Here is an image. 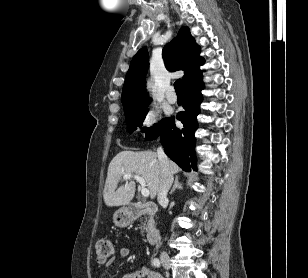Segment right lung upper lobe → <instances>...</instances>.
Returning <instances> with one entry per match:
<instances>
[{"label":"right lung upper lobe","mask_w":308,"mask_h":278,"mask_svg":"<svg viewBox=\"0 0 308 278\" xmlns=\"http://www.w3.org/2000/svg\"><path fill=\"white\" fill-rule=\"evenodd\" d=\"M199 54L200 47L188 27H182L177 37L163 48L162 56L167 70H184V89L202 78L199 67L204 64V59ZM148 68V52L142 48L133 57L126 74L121 97L124 111L150 103L148 93L144 92Z\"/></svg>","instance_id":"cb5924a9"}]
</instances>
